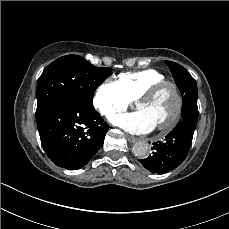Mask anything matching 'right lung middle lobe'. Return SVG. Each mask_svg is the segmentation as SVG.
Masks as SVG:
<instances>
[{"mask_svg":"<svg viewBox=\"0 0 229 229\" xmlns=\"http://www.w3.org/2000/svg\"><path fill=\"white\" fill-rule=\"evenodd\" d=\"M111 74L112 69L93 66L81 56L67 55L56 59L38 79L36 118L61 99H75L93 106L95 90Z\"/></svg>","mask_w":229,"mask_h":229,"instance_id":"right-lung-middle-lobe-1","label":"right lung middle lobe"}]
</instances>
